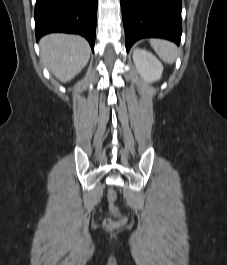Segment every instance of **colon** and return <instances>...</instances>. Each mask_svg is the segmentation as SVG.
<instances>
[{"label":"colon","instance_id":"obj_1","mask_svg":"<svg viewBox=\"0 0 227 265\" xmlns=\"http://www.w3.org/2000/svg\"><path fill=\"white\" fill-rule=\"evenodd\" d=\"M116 199H117V193L115 189L110 188L107 194L108 208L112 213L118 214L119 217L117 219L107 218L103 221V227L107 231H114L120 228L126 221L125 216L120 213L119 209L115 205Z\"/></svg>","mask_w":227,"mask_h":265}]
</instances>
